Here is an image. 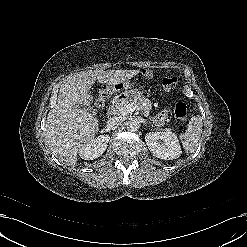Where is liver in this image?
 <instances>
[{"mask_svg":"<svg viewBox=\"0 0 247 247\" xmlns=\"http://www.w3.org/2000/svg\"><path fill=\"white\" fill-rule=\"evenodd\" d=\"M139 70H89L68 76L60 86L57 101L45 121V139L58 160L77 163L79 148L94 138L99 121L89 112L93 97L88 93L97 81L111 86L136 76Z\"/></svg>","mask_w":247,"mask_h":247,"instance_id":"1","label":"liver"}]
</instances>
